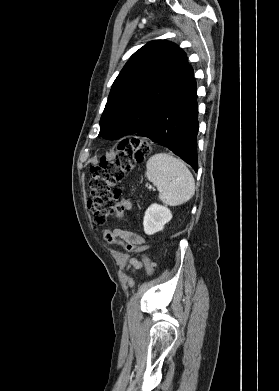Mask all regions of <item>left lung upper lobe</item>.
<instances>
[{"mask_svg": "<svg viewBox=\"0 0 279 391\" xmlns=\"http://www.w3.org/2000/svg\"><path fill=\"white\" fill-rule=\"evenodd\" d=\"M186 53L154 40L137 50L115 79L100 119L108 140L139 133L193 80Z\"/></svg>", "mask_w": 279, "mask_h": 391, "instance_id": "1", "label": "left lung upper lobe"}]
</instances>
